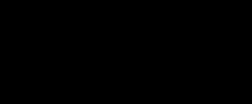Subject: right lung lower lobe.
<instances>
[{"mask_svg": "<svg viewBox=\"0 0 252 104\" xmlns=\"http://www.w3.org/2000/svg\"><path fill=\"white\" fill-rule=\"evenodd\" d=\"M34 95L40 104H113L121 90L107 72H94L72 57L55 56L37 71Z\"/></svg>", "mask_w": 252, "mask_h": 104, "instance_id": "right-lung-lower-lobe-1", "label": "right lung lower lobe"}]
</instances>
